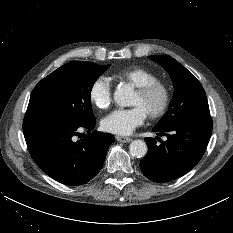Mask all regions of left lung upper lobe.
<instances>
[{
  "label": "left lung upper lobe",
  "mask_w": 233,
  "mask_h": 233,
  "mask_svg": "<svg viewBox=\"0 0 233 233\" xmlns=\"http://www.w3.org/2000/svg\"><path fill=\"white\" fill-rule=\"evenodd\" d=\"M149 58L168 71L174 85V96L170 107L156 125L157 128H167L190 116H210L205 91L191 72L171 56L157 55Z\"/></svg>",
  "instance_id": "obj_1"
}]
</instances>
